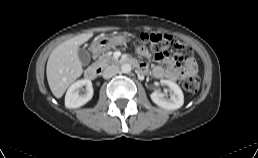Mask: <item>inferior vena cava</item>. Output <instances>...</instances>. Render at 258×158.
Segmentation results:
<instances>
[{"label":"inferior vena cava","instance_id":"obj_1","mask_svg":"<svg viewBox=\"0 0 258 158\" xmlns=\"http://www.w3.org/2000/svg\"><path fill=\"white\" fill-rule=\"evenodd\" d=\"M118 72H119V67L116 65H111L105 68V70L103 71V77L105 79H108L116 75Z\"/></svg>","mask_w":258,"mask_h":158}]
</instances>
